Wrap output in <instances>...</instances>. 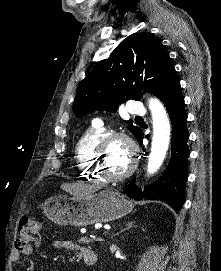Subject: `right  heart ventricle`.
<instances>
[{
    "mask_svg": "<svg viewBox=\"0 0 221 271\" xmlns=\"http://www.w3.org/2000/svg\"><path fill=\"white\" fill-rule=\"evenodd\" d=\"M104 132L87 133L79 138L76 144V164H80L79 176L84 179H93V183H103L102 174L95 171L97 165L94 164V159L97 155L93 151L97 149V144H101L102 139L105 137Z\"/></svg>",
    "mask_w": 221,
    "mask_h": 271,
    "instance_id": "obj_1",
    "label": "right heart ventricle"
}]
</instances>
